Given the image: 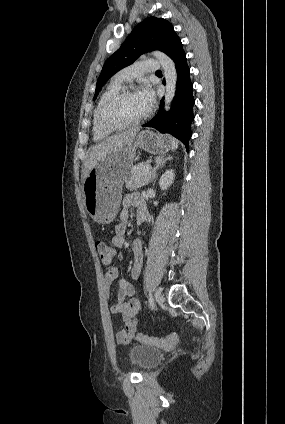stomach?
I'll return each instance as SVG.
<instances>
[{"label": "stomach", "instance_id": "1", "mask_svg": "<svg viewBox=\"0 0 285 424\" xmlns=\"http://www.w3.org/2000/svg\"><path fill=\"white\" fill-rule=\"evenodd\" d=\"M173 139L145 130L134 141L108 155L94 166L83 181L87 213L97 222H112L119 211L122 188L131 174L136 149L151 154L165 153L172 148Z\"/></svg>", "mask_w": 285, "mask_h": 424}]
</instances>
